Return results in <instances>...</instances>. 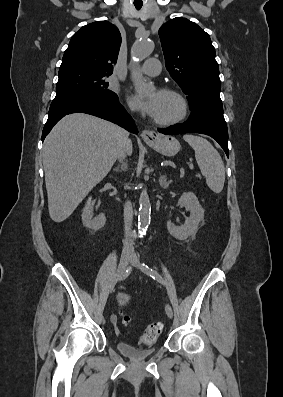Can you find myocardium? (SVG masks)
I'll return each instance as SVG.
<instances>
[{
  "label": "myocardium",
  "instance_id": "obj_1",
  "mask_svg": "<svg viewBox=\"0 0 283 397\" xmlns=\"http://www.w3.org/2000/svg\"><path fill=\"white\" fill-rule=\"evenodd\" d=\"M159 93L169 94V95L176 97L178 99V101L180 102L181 109H180L179 114L171 119L158 120V119L154 118L153 119L154 123L159 126H172V125L178 124L181 121H183L186 118L188 111H189V104H188V101H187L186 97L184 96V94L181 93L179 90L170 88V87L161 88L159 90Z\"/></svg>",
  "mask_w": 283,
  "mask_h": 397
}]
</instances>
